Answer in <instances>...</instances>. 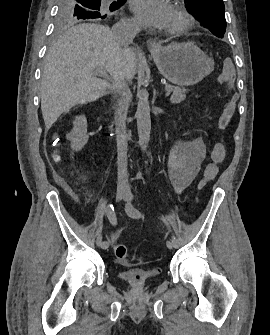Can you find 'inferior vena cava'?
<instances>
[{"instance_id": "obj_1", "label": "inferior vena cava", "mask_w": 270, "mask_h": 335, "mask_svg": "<svg viewBox=\"0 0 270 335\" xmlns=\"http://www.w3.org/2000/svg\"><path fill=\"white\" fill-rule=\"evenodd\" d=\"M112 34L118 46H128L133 42L136 34H138V26L132 20H120L112 28ZM113 90L118 98V106H126L129 92L128 84L130 80L122 74H114L113 76ZM116 138H117V152H118V185H128L127 175V130H126V116L121 118L120 122L116 124Z\"/></svg>"}]
</instances>
